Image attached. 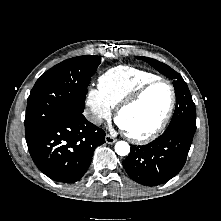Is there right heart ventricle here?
Masks as SVG:
<instances>
[{"instance_id":"1","label":"right heart ventricle","mask_w":221,"mask_h":221,"mask_svg":"<svg viewBox=\"0 0 221 221\" xmlns=\"http://www.w3.org/2000/svg\"><path fill=\"white\" fill-rule=\"evenodd\" d=\"M158 76L132 66H116L98 79L99 92L110 107H116L124 98L144 83Z\"/></svg>"}]
</instances>
